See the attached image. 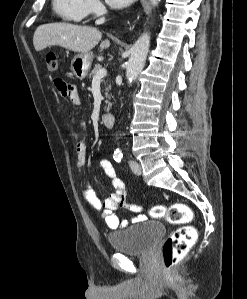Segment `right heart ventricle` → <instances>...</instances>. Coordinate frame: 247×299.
I'll list each match as a JSON object with an SVG mask.
<instances>
[{"label":"right heart ventricle","mask_w":247,"mask_h":299,"mask_svg":"<svg viewBox=\"0 0 247 299\" xmlns=\"http://www.w3.org/2000/svg\"><path fill=\"white\" fill-rule=\"evenodd\" d=\"M52 9L62 21L79 23L88 15V2L87 0H52Z\"/></svg>","instance_id":"right-heart-ventricle-1"}]
</instances>
